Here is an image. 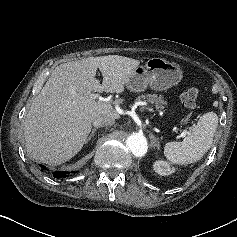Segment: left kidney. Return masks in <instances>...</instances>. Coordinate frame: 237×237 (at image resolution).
Wrapping results in <instances>:
<instances>
[{
  "instance_id": "5707ae66",
  "label": "left kidney",
  "mask_w": 237,
  "mask_h": 237,
  "mask_svg": "<svg viewBox=\"0 0 237 237\" xmlns=\"http://www.w3.org/2000/svg\"><path fill=\"white\" fill-rule=\"evenodd\" d=\"M153 169L156 173H158L161 176H167L172 174L175 169L172 168L168 162L163 160H158L153 164Z\"/></svg>"
}]
</instances>
